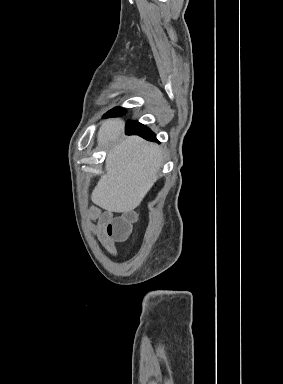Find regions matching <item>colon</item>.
I'll return each instance as SVG.
<instances>
[{"instance_id": "1", "label": "colon", "mask_w": 283, "mask_h": 384, "mask_svg": "<svg viewBox=\"0 0 283 384\" xmlns=\"http://www.w3.org/2000/svg\"><path fill=\"white\" fill-rule=\"evenodd\" d=\"M133 221L134 217L130 214L115 218L109 225V235L115 240L128 238L132 231Z\"/></svg>"}]
</instances>
